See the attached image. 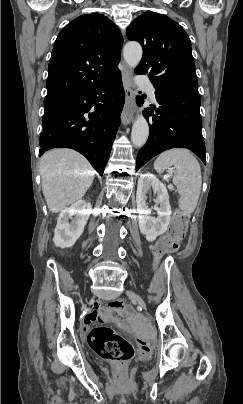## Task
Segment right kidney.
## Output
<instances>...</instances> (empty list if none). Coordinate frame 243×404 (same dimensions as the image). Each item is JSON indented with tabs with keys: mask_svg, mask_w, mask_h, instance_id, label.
<instances>
[{
	"mask_svg": "<svg viewBox=\"0 0 243 404\" xmlns=\"http://www.w3.org/2000/svg\"><path fill=\"white\" fill-rule=\"evenodd\" d=\"M74 216V218H73ZM89 218L84 200L75 202L59 214L53 242L59 248H71L84 232Z\"/></svg>",
	"mask_w": 243,
	"mask_h": 404,
	"instance_id": "1",
	"label": "right kidney"
}]
</instances>
